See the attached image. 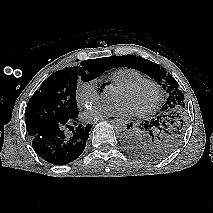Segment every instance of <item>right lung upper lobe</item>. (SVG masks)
Instances as JSON below:
<instances>
[{
    "label": "right lung upper lobe",
    "mask_w": 213,
    "mask_h": 213,
    "mask_svg": "<svg viewBox=\"0 0 213 213\" xmlns=\"http://www.w3.org/2000/svg\"><path fill=\"white\" fill-rule=\"evenodd\" d=\"M101 60H103V61L107 62L108 58H103V59H101Z\"/></svg>",
    "instance_id": "right-lung-upper-lobe-1"
}]
</instances>
